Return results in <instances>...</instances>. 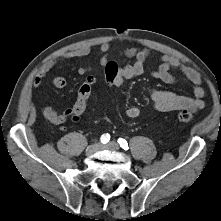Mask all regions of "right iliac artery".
I'll list each match as a JSON object with an SVG mask.
<instances>
[{
  "label": "right iliac artery",
  "mask_w": 221,
  "mask_h": 221,
  "mask_svg": "<svg viewBox=\"0 0 221 221\" xmlns=\"http://www.w3.org/2000/svg\"><path fill=\"white\" fill-rule=\"evenodd\" d=\"M110 140V135L107 133V134H103L101 137H100V141L101 143L103 144H106L107 142H109Z\"/></svg>",
  "instance_id": "right-iliac-artery-1"
}]
</instances>
